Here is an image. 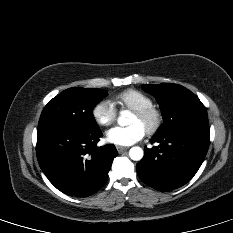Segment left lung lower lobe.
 Returning a JSON list of instances; mask_svg holds the SVG:
<instances>
[{
  "label": "left lung lower lobe",
  "instance_id": "obj_1",
  "mask_svg": "<svg viewBox=\"0 0 233 233\" xmlns=\"http://www.w3.org/2000/svg\"><path fill=\"white\" fill-rule=\"evenodd\" d=\"M137 164L140 179L163 192L190 181L200 168L209 147V126H191L163 136H154Z\"/></svg>",
  "mask_w": 233,
  "mask_h": 233
}]
</instances>
